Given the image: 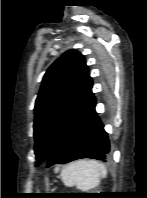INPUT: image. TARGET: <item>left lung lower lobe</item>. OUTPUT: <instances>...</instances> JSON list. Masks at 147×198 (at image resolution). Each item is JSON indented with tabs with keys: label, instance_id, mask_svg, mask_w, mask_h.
Segmentation results:
<instances>
[{
	"label": "left lung lower lobe",
	"instance_id": "1",
	"mask_svg": "<svg viewBox=\"0 0 147 198\" xmlns=\"http://www.w3.org/2000/svg\"><path fill=\"white\" fill-rule=\"evenodd\" d=\"M109 151V139L95 111V97L92 93L87 104L54 145L47 167L82 158L106 162Z\"/></svg>",
	"mask_w": 147,
	"mask_h": 198
}]
</instances>
